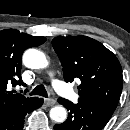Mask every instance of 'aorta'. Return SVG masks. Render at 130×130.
<instances>
[{
  "label": "aorta",
  "instance_id": "1",
  "mask_svg": "<svg viewBox=\"0 0 130 130\" xmlns=\"http://www.w3.org/2000/svg\"><path fill=\"white\" fill-rule=\"evenodd\" d=\"M23 63L26 67L31 69H43L49 65L45 54L33 48L24 52ZM49 114L50 118L57 123H63L67 118V111L61 105L51 108Z\"/></svg>",
  "mask_w": 130,
  "mask_h": 130
}]
</instances>
